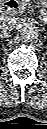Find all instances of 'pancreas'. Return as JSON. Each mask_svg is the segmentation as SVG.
I'll return each mask as SVG.
<instances>
[{
  "label": "pancreas",
  "instance_id": "1",
  "mask_svg": "<svg viewBox=\"0 0 47 129\" xmlns=\"http://www.w3.org/2000/svg\"><path fill=\"white\" fill-rule=\"evenodd\" d=\"M21 3L26 6L27 5V0H21Z\"/></svg>",
  "mask_w": 47,
  "mask_h": 129
}]
</instances>
